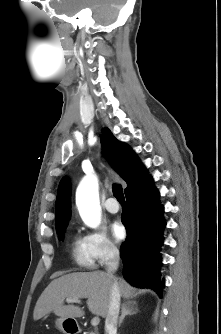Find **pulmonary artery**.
Masks as SVG:
<instances>
[{
    "label": "pulmonary artery",
    "instance_id": "pulmonary-artery-1",
    "mask_svg": "<svg viewBox=\"0 0 221 334\" xmlns=\"http://www.w3.org/2000/svg\"><path fill=\"white\" fill-rule=\"evenodd\" d=\"M105 208L110 213H117L120 210L119 204L116 202L115 198H108L105 202Z\"/></svg>",
    "mask_w": 221,
    "mask_h": 334
}]
</instances>
